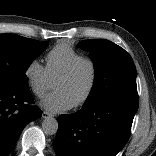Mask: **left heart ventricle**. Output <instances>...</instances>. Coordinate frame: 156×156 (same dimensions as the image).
Returning <instances> with one entry per match:
<instances>
[{"label": "left heart ventricle", "mask_w": 156, "mask_h": 156, "mask_svg": "<svg viewBox=\"0 0 156 156\" xmlns=\"http://www.w3.org/2000/svg\"><path fill=\"white\" fill-rule=\"evenodd\" d=\"M90 80V67L87 64H84L70 79L55 81L53 89L62 92L74 104L84 95Z\"/></svg>", "instance_id": "b2bd125f"}]
</instances>
